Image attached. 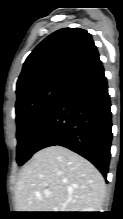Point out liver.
<instances>
[{"label": "liver", "mask_w": 123, "mask_h": 219, "mask_svg": "<svg viewBox=\"0 0 123 219\" xmlns=\"http://www.w3.org/2000/svg\"><path fill=\"white\" fill-rule=\"evenodd\" d=\"M50 191V195H45ZM106 193L101 173L88 160L62 146L36 152L15 186L17 212H98Z\"/></svg>", "instance_id": "1"}]
</instances>
